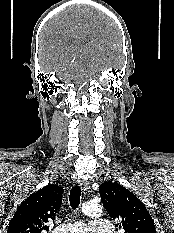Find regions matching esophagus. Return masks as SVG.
Masks as SVG:
<instances>
[{"mask_svg": "<svg viewBox=\"0 0 174 233\" xmlns=\"http://www.w3.org/2000/svg\"><path fill=\"white\" fill-rule=\"evenodd\" d=\"M79 184H80V186H81V188H82V191L84 192V193H87V191H88V189H89V187H88V182L87 181H81V180H79Z\"/></svg>", "mask_w": 174, "mask_h": 233, "instance_id": "obj_1", "label": "esophagus"}]
</instances>
